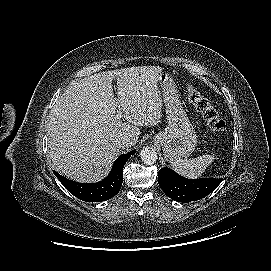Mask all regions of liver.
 I'll return each mask as SVG.
<instances>
[{
	"label": "liver",
	"instance_id": "obj_1",
	"mask_svg": "<svg viewBox=\"0 0 271 271\" xmlns=\"http://www.w3.org/2000/svg\"><path fill=\"white\" fill-rule=\"evenodd\" d=\"M162 71L159 66H136L72 82L56 101L46 126L55 169L78 182L106 176L123 149L117 140L129 136L135 145L140 126L160 122ZM115 78L118 97L112 87ZM116 109L127 122L115 119Z\"/></svg>",
	"mask_w": 271,
	"mask_h": 271
}]
</instances>
